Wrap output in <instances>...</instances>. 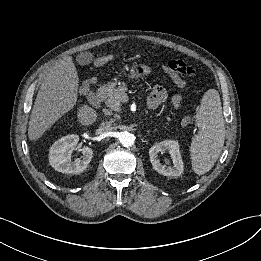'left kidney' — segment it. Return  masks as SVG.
I'll use <instances>...</instances> for the list:
<instances>
[{
  "instance_id": "obj_1",
  "label": "left kidney",
  "mask_w": 261,
  "mask_h": 261,
  "mask_svg": "<svg viewBox=\"0 0 261 261\" xmlns=\"http://www.w3.org/2000/svg\"><path fill=\"white\" fill-rule=\"evenodd\" d=\"M168 152L173 161V167L162 165L158 159V153ZM150 161L153 168L164 176H180L184 165L180 155L179 143L176 140H165L153 145L149 150Z\"/></svg>"
}]
</instances>
